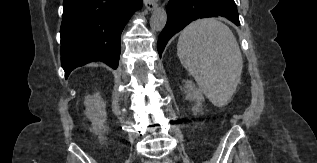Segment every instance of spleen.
<instances>
[{
    "label": "spleen",
    "instance_id": "1",
    "mask_svg": "<svg viewBox=\"0 0 317 163\" xmlns=\"http://www.w3.org/2000/svg\"><path fill=\"white\" fill-rule=\"evenodd\" d=\"M177 54L212 104L226 105L243 67L239 45L229 27L212 18L192 22L178 39Z\"/></svg>",
    "mask_w": 317,
    "mask_h": 163
}]
</instances>
